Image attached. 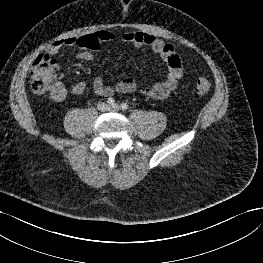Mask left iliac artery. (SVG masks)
Returning <instances> with one entry per match:
<instances>
[{
    "label": "left iliac artery",
    "mask_w": 263,
    "mask_h": 263,
    "mask_svg": "<svg viewBox=\"0 0 263 263\" xmlns=\"http://www.w3.org/2000/svg\"><path fill=\"white\" fill-rule=\"evenodd\" d=\"M121 108H122V110H127L128 109L127 103H122Z\"/></svg>",
    "instance_id": "1"
}]
</instances>
